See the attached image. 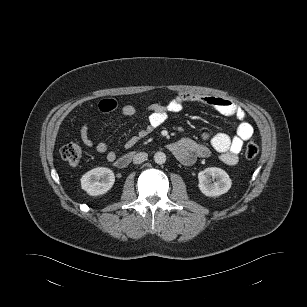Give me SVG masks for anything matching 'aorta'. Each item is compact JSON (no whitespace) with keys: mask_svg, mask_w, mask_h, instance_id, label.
I'll return each instance as SVG.
<instances>
[{"mask_svg":"<svg viewBox=\"0 0 307 307\" xmlns=\"http://www.w3.org/2000/svg\"><path fill=\"white\" fill-rule=\"evenodd\" d=\"M154 161H155V163H157V164H163V163H165V161H166V155H165V153H164V152H161V151L156 152V153L154 154Z\"/></svg>","mask_w":307,"mask_h":307,"instance_id":"obj_1","label":"aorta"}]
</instances>
